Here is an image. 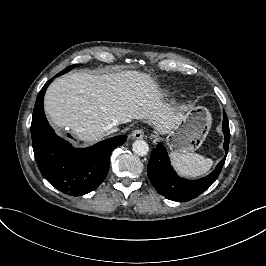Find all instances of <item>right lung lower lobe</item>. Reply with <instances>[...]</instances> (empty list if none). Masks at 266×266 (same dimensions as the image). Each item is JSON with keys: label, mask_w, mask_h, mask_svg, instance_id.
<instances>
[{"label": "right lung lower lobe", "mask_w": 266, "mask_h": 266, "mask_svg": "<svg viewBox=\"0 0 266 266\" xmlns=\"http://www.w3.org/2000/svg\"><path fill=\"white\" fill-rule=\"evenodd\" d=\"M62 74H57L59 76ZM49 80L39 92L34 106L31 135L34 156L44 178L59 191L82 196L96 189L105 179L112 150L125 143L121 135L101 141L91 147L76 149L57 136L49 125L43 99Z\"/></svg>", "instance_id": "1"}]
</instances>
